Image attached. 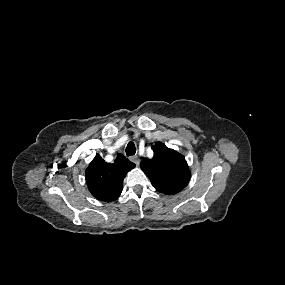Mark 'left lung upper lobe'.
<instances>
[{
  "label": "left lung upper lobe",
  "mask_w": 285,
  "mask_h": 285,
  "mask_svg": "<svg viewBox=\"0 0 285 285\" xmlns=\"http://www.w3.org/2000/svg\"><path fill=\"white\" fill-rule=\"evenodd\" d=\"M152 159H143L141 169L150 179L154 188L164 194H176L185 188L190 179V171L185 158L163 143L152 147Z\"/></svg>",
  "instance_id": "5c2ea615"
}]
</instances>
